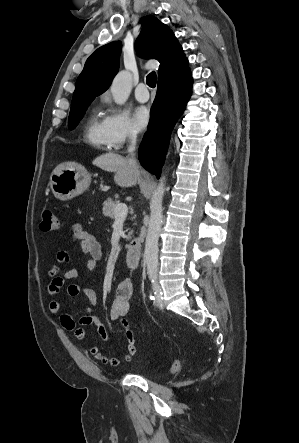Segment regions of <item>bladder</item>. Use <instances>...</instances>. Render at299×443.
<instances>
[{
    "instance_id": "obj_1",
    "label": "bladder",
    "mask_w": 299,
    "mask_h": 443,
    "mask_svg": "<svg viewBox=\"0 0 299 443\" xmlns=\"http://www.w3.org/2000/svg\"><path fill=\"white\" fill-rule=\"evenodd\" d=\"M140 374L147 380L155 381L158 379V375L151 371L142 370Z\"/></svg>"
}]
</instances>
